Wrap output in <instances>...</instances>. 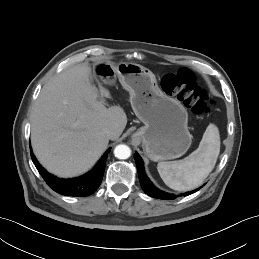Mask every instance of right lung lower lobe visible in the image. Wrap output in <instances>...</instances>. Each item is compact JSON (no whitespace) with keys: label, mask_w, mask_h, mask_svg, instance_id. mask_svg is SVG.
Instances as JSON below:
<instances>
[{"label":"right lung lower lobe","mask_w":259,"mask_h":259,"mask_svg":"<svg viewBox=\"0 0 259 259\" xmlns=\"http://www.w3.org/2000/svg\"><path fill=\"white\" fill-rule=\"evenodd\" d=\"M30 152L32 161L38 172L52 190L62 195L85 197L94 193L100 186L110 149L105 152L100 161L90 172L73 179H60L53 176L39 164L32 152L31 147Z\"/></svg>","instance_id":"obj_1"}]
</instances>
